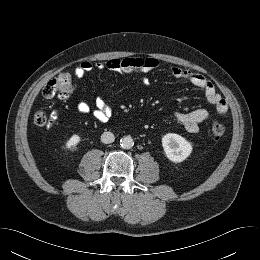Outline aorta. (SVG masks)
Returning a JSON list of instances; mask_svg holds the SVG:
<instances>
[{
	"mask_svg": "<svg viewBox=\"0 0 260 260\" xmlns=\"http://www.w3.org/2000/svg\"><path fill=\"white\" fill-rule=\"evenodd\" d=\"M134 145V141L133 138L131 136H124L120 139V146L123 149H130L132 148Z\"/></svg>",
	"mask_w": 260,
	"mask_h": 260,
	"instance_id": "762f6f07",
	"label": "aorta"
}]
</instances>
